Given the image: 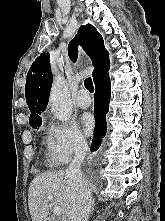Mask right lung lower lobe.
<instances>
[{"mask_svg": "<svg viewBox=\"0 0 165 221\" xmlns=\"http://www.w3.org/2000/svg\"><path fill=\"white\" fill-rule=\"evenodd\" d=\"M95 106H94V116L96 119L94 138L91 144V151L95 152L99 149L105 133L107 131V123L105 116L109 110L110 102V79L109 75L104 77L101 81L95 84Z\"/></svg>", "mask_w": 165, "mask_h": 221, "instance_id": "1", "label": "right lung lower lobe"}]
</instances>
